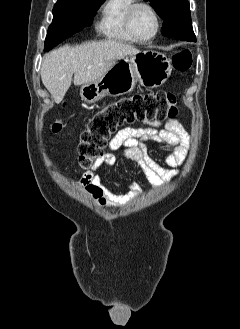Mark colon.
<instances>
[{"label":"colon","instance_id":"5ec220e1","mask_svg":"<svg viewBox=\"0 0 240 329\" xmlns=\"http://www.w3.org/2000/svg\"><path fill=\"white\" fill-rule=\"evenodd\" d=\"M175 70L185 72L192 66V54L182 50L172 56ZM177 114L176 97L169 91L138 93L124 97L96 112L83 131L78 144L79 164L90 167L100 157L110 137L125 125L143 121L164 120ZM61 121H56L52 130H62Z\"/></svg>","mask_w":240,"mask_h":329}]
</instances>
